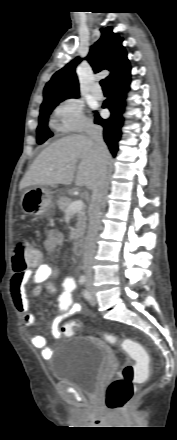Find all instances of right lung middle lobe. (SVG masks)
Masks as SVG:
<instances>
[{"label": "right lung middle lobe", "mask_w": 177, "mask_h": 440, "mask_svg": "<svg viewBox=\"0 0 177 440\" xmlns=\"http://www.w3.org/2000/svg\"><path fill=\"white\" fill-rule=\"evenodd\" d=\"M78 98V97H76ZM63 101V100H62ZM61 101L42 104L40 108V116H39V125L37 127V143L42 144L48 138L53 136V133L48 129V117L53 111V109L60 103Z\"/></svg>", "instance_id": "dd1d6c3e"}]
</instances>
